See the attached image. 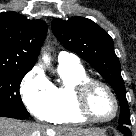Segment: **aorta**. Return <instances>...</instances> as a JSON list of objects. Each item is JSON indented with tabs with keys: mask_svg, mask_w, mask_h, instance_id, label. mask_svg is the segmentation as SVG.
Listing matches in <instances>:
<instances>
[{
	"mask_svg": "<svg viewBox=\"0 0 136 136\" xmlns=\"http://www.w3.org/2000/svg\"><path fill=\"white\" fill-rule=\"evenodd\" d=\"M43 61H44L46 64H48V63L50 62V60H49V58H48L47 55H44V56H43Z\"/></svg>",
	"mask_w": 136,
	"mask_h": 136,
	"instance_id": "obj_1",
	"label": "aorta"
}]
</instances>
